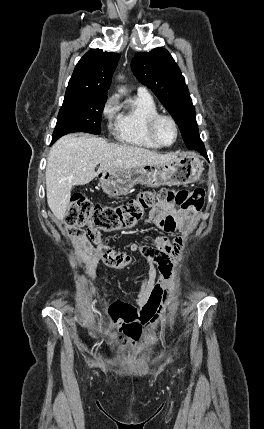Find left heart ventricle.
Instances as JSON below:
<instances>
[{
	"label": "left heart ventricle",
	"mask_w": 264,
	"mask_h": 429,
	"mask_svg": "<svg viewBox=\"0 0 264 429\" xmlns=\"http://www.w3.org/2000/svg\"><path fill=\"white\" fill-rule=\"evenodd\" d=\"M157 135L163 143H171L175 137L173 125L168 120H161L157 125Z\"/></svg>",
	"instance_id": "1"
}]
</instances>
